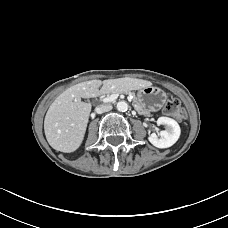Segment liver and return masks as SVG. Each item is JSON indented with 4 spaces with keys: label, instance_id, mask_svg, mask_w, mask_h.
I'll list each match as a JSON object with an SVG mask.
<instances>
[{
    "label": "liver",
    "instance_id": "obj_1",
    "mask_svg": "<svg viewBox=\"0 0 228 228\" xmlns=\"http://www.w3.org/2000/svg\"><path fill=\"white\" fill-rule=\"evenodd\" d=\"M103 85L101 90L99 87ZM152 83L147 80L119 78L109 80H90L78 83L61 93L50 105L44 120V132L50 146L60 152L76 151L86 132L91 103L81 98L96 97L112 91L137 90Z\"/></svg>",
    "mask_w": 228,
    "mask_h": 228
}]
</instances>
